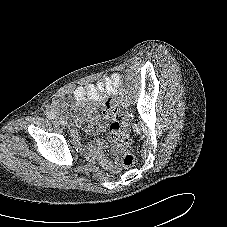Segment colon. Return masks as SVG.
Returning <instances> with one entry per match:
<instances>
[{"label": "colon", "mask_w": 227, "mask_h": 227, "mask_svg": "<svg viewBox=\"0 0 227 227\" xmlns=\"http://www.w3.org/2000/svg\"><path fill=\"white\" fill-rule=\"evenodd\" d=\"M122 110L119 101L115 97H110L104 104V114L112 120L110 125V134L114 145L122 148L130 144V128L125 122H120ZM135 164V156L130 150H125L121 156V166L124 169H130Z\"/></svg>", "instance_id": "colon-1"}]
</instances>
